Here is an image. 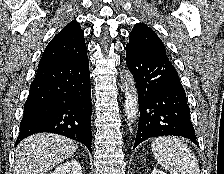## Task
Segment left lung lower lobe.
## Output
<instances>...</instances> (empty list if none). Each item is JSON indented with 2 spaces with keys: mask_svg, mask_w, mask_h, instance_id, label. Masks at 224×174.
I'll return each instance as SVG.
<instances>
[{
  "mask_svg": "<svg viewBox=\"0 0 224 174\" xmlns=\"http://www.w3.org/2000/svg\"><path fill=\"white\" fill-rule=\"evenodd\" d=\"M126 64L136 81L140 108L133 149L148 138L165 135L197 144L186 93L166 53L126 47Z\"/></svg>",
  "mask_w": 224,
  "mask_h": 174,
  "instance_id": "0a47b994",
  "label": "left lung lower lobe"
}]
</instances>
